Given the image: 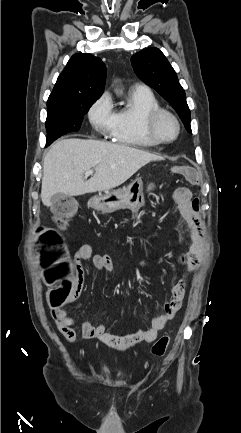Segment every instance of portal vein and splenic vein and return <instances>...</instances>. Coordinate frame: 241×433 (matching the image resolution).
<instances>
[{
    "instance_id": "1",
    "label": "portal vein and splenic vein",
    "mask_w": 241,
    "mask_h": 433,
    "mask_svg": "<svg viewBox=\"0 0 241 433\" xmlns=\"http://www.w3.org/2000/svg\"><path fill=\"white\" fill-rule=\"evenodd\" d=\"M92 174H93V170H92V169L87 170V171L85 172V175H92Z\"/></svg>"
}]
</instances>
